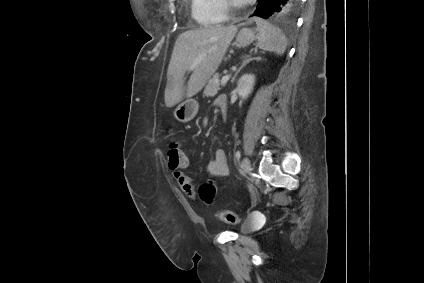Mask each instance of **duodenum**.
Returning a JSON list of instances; mask_svg holds the SVG:
<instances>
[{"instance_id": "duodenum-1", "label": "duodenum", "mask_w": 424, "mask_h": 283, "mask_svg": "<svg viewBox=\"0 0 424 283\" xmlns=\"http://www.w3.org/2000/svg\"><path fill=\"white\" fill-rule=\"evenodd\" d=\"M219 107L223 113V115L225 116L227 113V100L226 98H222L219 102Z\"/></svg>"}]
</instances>
